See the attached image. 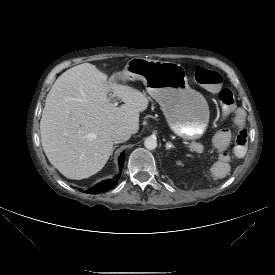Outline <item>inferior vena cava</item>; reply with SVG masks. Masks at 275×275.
<instances>
[{"label": "inferior vena cava", "instance_id": "inferior-vena-cava-1", "mask_svg": "<svg viewBox=\"0 0 275 275\" xmlns=\"http://www.w3.org/2000/svg\"><path fill=\"white\" fill-rule=\"evenodd\" d=\"M131 136V133L126 128H118L112 134V140L114 143H122L127 141Z\"/></svg>", "mask_w": 275, "mask_h": 275}]
</instances>
